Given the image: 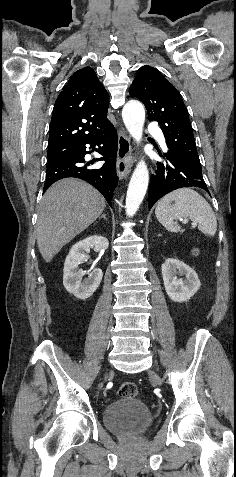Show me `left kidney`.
I'll return each instance as SVG.
<instances>
[{
  "mask_svg": "<svg viewBox=\"0 0 236 477\" xmlns=\"http://www.w3.org/2000/svg\"><path fill=\"white\" fill-rule=\"evenodd\" d=\"M161 270L166 293L175 302L189 300L201 286L197 273L180 260L166 259ZM177 275H185L186 279H179Z\"/></svg>",
  "mask_w": 236,
  "mask_h": 477,
  "instance_id": "left-kidney-1",
  "label": "left kidney"
}]
</instances>
